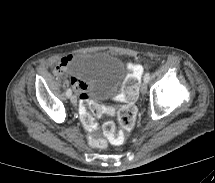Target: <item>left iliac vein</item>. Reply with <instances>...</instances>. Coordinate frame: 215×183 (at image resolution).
I'll return each instance as SVG.
<instances>
[{
  "label": "left iliac vein",
  "mask_w": 215,
  "mask_h": 183,
  "mask_svg": "<svg viewBox=\"0 0 215 183\" xmlns=\"http://www.w3.org/2000/svg\"><path fill=\"white\" fill-rule=\"evenodd\" d=\"M147 91V82L144 81L142 84H141V93L142 94H145Z\"/></svg>",
  "instance_id": "4c4485c4"
}]
</instances>
